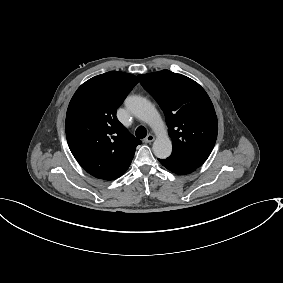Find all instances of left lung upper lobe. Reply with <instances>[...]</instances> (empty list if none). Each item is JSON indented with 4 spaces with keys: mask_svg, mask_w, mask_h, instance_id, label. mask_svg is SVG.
Here are the masks:
<instances>
[{
    "mask_svg": "<svg viewBox=\"0 0 283 283\" xmlns=\"http://www.w3.org/2000/svg\"><path fill=\"white\" fill-rule=\"evenodd\" d=\"M138 78L165 113L173 145L168 159L200 167L209 157L218 132L217 116L205 90L194 80L169 70Z\"/></svg>",
    "mask_w": 283,
    "mask_h": 283,
    "instance_id": "left-lung-upper-lobe-1",
    "label": "left lung upper lobe"
}]
</instances>
